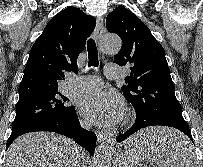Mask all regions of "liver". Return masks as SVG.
<instances>
[{"label":"liver","instance_id":"1","mask_svg":"<svg viewBox=\"0 0 203 167\" xmlns=\"http://www.w3.org/2000/svg\"><path fill=\"white\" fill-rule=\"evenodd\" d=\"M170 138L181 134L175 130L162 128ZM149 135L140 134L127 143H140L156 134L152 129ZM81 149L71 139L47 132L28 133L18 137L9 147L3 167H81Z\"/></svg>","mask_w":203,"mask_h":167}]
</instances>
